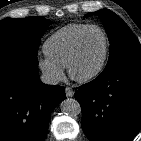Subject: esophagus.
Segmentation results:
<instances>
[{"label":"esophagus","mask_w":141,"mask_h":141,"mask_svg":"<svg viewBox=\"0 0 141 141\" xmlns=\"http://www.w3.org/2000/svg\"><path fill=\"white\" fill-rule=\"evenodd\" d=\"M65 93L67 97H73L74 95V90L71 87H66L65 88Z\"/></svg>","instance_id":"obj_1"}]
</instances>
